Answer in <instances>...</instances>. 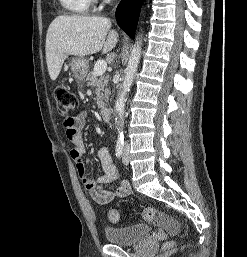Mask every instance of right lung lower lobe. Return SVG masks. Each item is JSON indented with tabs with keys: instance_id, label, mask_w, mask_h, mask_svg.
Listing matches in <instances>:
<instances>
[{
	"instance_id": "98d812e1",
	"label": "right lung lower lobe",
	"mask_w": 247,
	"mask_h": 257,
	"mask_svg": "<svg viewBox=\"0 0 247 257\" xmlns=\"http://www.w3.org/2000/svg\"><path fill=\"white\" fill-rule=\"evenodd\" d=\"M141 9V0H122L116 9L118 25L134 38Z\"/></svg>"
}]
</instances>
